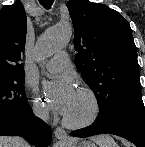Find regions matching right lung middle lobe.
Instances as JSON below:
<instances>
[{"label":"right lung middle lobe","mask_w":145,"mask_h":147,"mask_svg":"<svg viewBox=\"0 0 145 147\" xmlns=\"http://www.w3.org/2000/svg\"><path fill=\"white\" fill-rule=\"evenodd\" d=\"M24 80V75L0 80V118L22 114L29 108Z\"/></svg>","instance_id":"obj_1"}]
</instances>
